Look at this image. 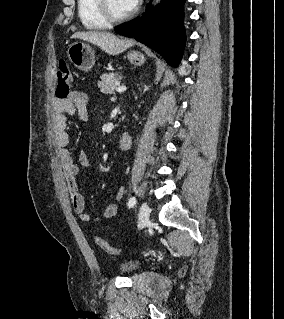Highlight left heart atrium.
Instances as JSON below:
<instances>
[{"mask_svg":"<svg viewBox=\"0 0 284 319\" xmlns=\"http://www.w3.org/2000/svg\"><path fill=\"white\" fill-rule=\"evenodd\" d=\"M126 2L129 9L133 10L138 5L139 0H126Z\"/></svg>","mask_w":284,"mask_h":319,"instance_id":"obj_1","label":"left heart atrium"}]
</instances>
